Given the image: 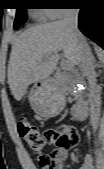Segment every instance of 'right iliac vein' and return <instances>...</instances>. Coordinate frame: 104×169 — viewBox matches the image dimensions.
Returning a JSON list of instances; mask_svg holds the SVG:
<instances>
[{
	"label": "right iliac vein",
	"mask_w": 104,
	"mask_h": 169,
	"mask_svg": "<svg viewBox=\"0 0 104 169\" xmlns=\"http://www.w3.org/2000/svg\"><path fill=\"white\" fill-rule=\"evenodd\" d=\"M97 165L99 167L98 169H104L103 155L101 154L99 150H97Z\"/></svg>",
	"instance_id": "63e3f726"
}]
</instances>
